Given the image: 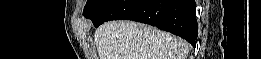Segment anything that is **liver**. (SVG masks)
Listing matches in <instances>:
<instances>
[{
    "instance_id": "obj_1",
    "label": "liver",
    "mask_w": 261,
    "mask_h": 59,
    "mask_svg": "<svg viewBox=\"0 0 261 59\" xmlns=\"http://www.w3.org/2000/svg\"><path fill=\"white\" fill-rule=\"evenodd\" d=\"M100 59H186L187 44L180 38L131 21H110L96 29Z\"/></svg>"
}]
</instances>
